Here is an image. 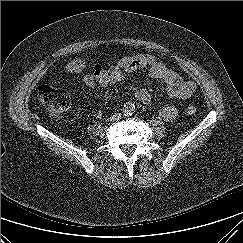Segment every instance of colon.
<instances>
[{"instance_id":"colon-1","label":"colon","mask_w":243,"mask_h":243,"mask_svg":"<svg viewBox=\"0 0 243 243\" xmlns=\"http://www.w3.org/2000/svg\"><path fill=\"white\" fill-rule=\"evenodd\" d=\"M88 64L82 59H73L65 64L64 69L70 73H79L87 68ZM39 99L48 112V114L56 120L61 119L70 108L69 94L59 88L50 85H41L39 88ZM197 108L194 104H189L185 108L188 115H194Z\"/></svg>"}]
</instances>
